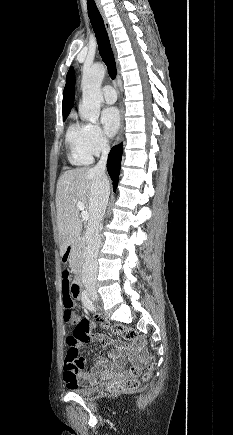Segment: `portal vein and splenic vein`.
Returning a JSON list of instances; mask_svg holds the SVG:
<instances>
[{"label":"portal vein and splenic vein","mask_w":233,"mask_h":435,"mask_svg":"<svg viewBox=\"0 0 233 435\" xmlns=\"http://www.w3.org/2000/svg\"><path fill=\"white\" fill-rule=\"evenodd\" d=\"M77 207L79 208V210H81V216H82V219H83L84 221H87V220L89 219V214H88V212L85 210L84 203L81 202V201H78V202H77Z\"/></svg>","instance_id":"1"}]
</instances>
